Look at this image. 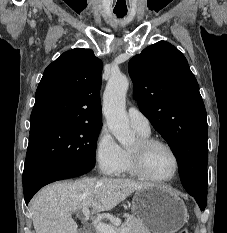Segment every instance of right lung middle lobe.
Segmentation results:
<instances>
[{
	"mask_svg": "<svg viewBox=\"0 0 227 233\" xmlns=\"http://www.w3.org/2000/svg\"><path fill=\"white\" fill-rule=\"evenodd\" d=\"M101 123H76L30 134L23 177L55 165L93 168Z\"/></svg>",
	"mask_w": 227,
	"mask_h": 233,
	"instance_id": "obj_1",
	"label": "right lung middle lobe"
}]
</instances>
